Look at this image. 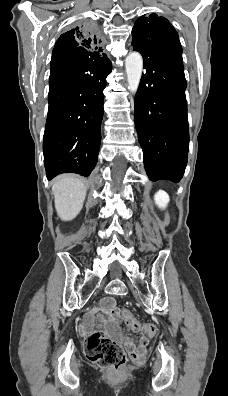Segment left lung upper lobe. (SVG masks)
I'll list each match as a JSON object with an SVG mask.
<instances>
[{
	"label": "left lung upper lobe",
	"mask_w": 228,
	"mask_h": 396,
	"mask_svg": "<svg viewBox=\"0 0 228 396\" xmlns=\"http://www.w3.org/2000/svg\"><path fill=\"white\" fill-rule=\"evenodd\" d=\"M132 41L147 42L182 56L178 33L169 21L157 14L143 15L132 29Z\"/></svg>",
	"instance_id": "5c2ea615"
}]
</instances>
